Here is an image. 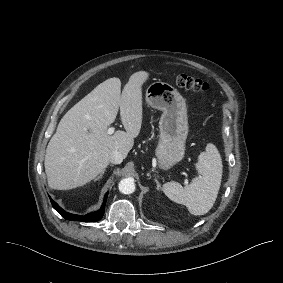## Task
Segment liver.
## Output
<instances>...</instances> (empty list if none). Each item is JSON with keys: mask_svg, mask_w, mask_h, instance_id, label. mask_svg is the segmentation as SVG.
<instances>
[{"mask_svg": "<svg viewBox=\"0 0 283 283\" xmlns=\"http://www.w3.org/2000/svg\"><path fill=\"white\" fill-rule=\"evenodd\" d=\"M144 72L131 76L121 93V82L110 78L96 86L60 120L45 155L48 186L70 189L96 177L109 163L110 153L126 158L141 126L140 85ZM120 117L125 131L106 130Z\"/></svg>", "mask_w": 283, "mask_h": 283, "instance_id": "liver-1", "label": "liver"}]
</instances>
